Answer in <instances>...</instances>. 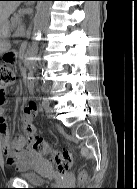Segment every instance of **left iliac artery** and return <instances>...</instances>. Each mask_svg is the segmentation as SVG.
<instances>
[{
    "label": "left iliac artery",
    "mask_w": 137,
    "mask_h": 189,
    "mask_svg": "<svg viewBox=\"0 0 137 189\" xmlns=\"http://www.w3.org/2000/svg\"><path fill=\"white\" fill-rule=\"evenodd\" d=\"M49 104V98H43V105H48Z\"/></svg>",
    "instance_id": "1"
}]
</instances>
